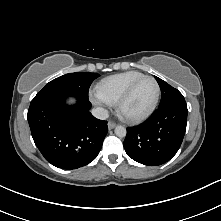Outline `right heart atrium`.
I'll list each match as a JSON object with an SVG mask.
<instances>
[{"instance_id":"1","label":"right heart atrium","mask_w":221,"mask_h":221,"mask_svg":"<svg viewBox=\"0 0 221 221\" xmlns=\"http://www.w3.org/2000/svg\"><path fill=\"white\" fill-rule=\"evenodd\" d=\"M90 98L94 104L101 106V107H104L109 104L103 98H101L97 93H91Z\"/></svg>"}]
</instances>
